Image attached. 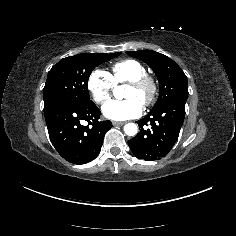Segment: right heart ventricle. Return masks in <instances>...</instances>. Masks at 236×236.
Wrapping results in <instances>:
<instances>
[{"label":"right heart ventricle","instance_id":"e07e8e85","mask_svg":"<svg viewBox=\"0 0 236 236\" xmlns=\"http://www.w3.org/2000/svg\"><path fill=\"white\" fill-rule=\"evenodd\" d=\"M112 78L115 85L128 83L135 77L146 74L145 66L135 59H124L112 66Z\"/></svg>","mask_w":236,"mask_h":236}]
</instances>
